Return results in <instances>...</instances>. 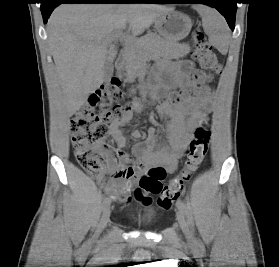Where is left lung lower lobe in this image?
Returning a JSON list of instances; mask_svg holds the SVG:
<instances>
[{
  "label": "left lung lower lobe",
  "mask_w": 279,
  "mask_h": 267,
  "mask_svg": "<svg viewBox=\"0 0 279 267\" xmlns=\"http://www.w3.org/2000/svg\"><path fill=\"white\" fill-rule=\"evenodd\" d=\"M145 3H200L216 8L224 15L231 30L235 27L237 0H147Z\"/></svg>",
  "instance_id": "obj_1"
}]
</instances>
